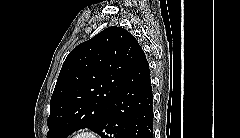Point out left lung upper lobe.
Returning <instances> with one entry per match:
<instances>
[{
  "mask_svg": "<svg viewBox=\"0 0 240 138\" xmlns=\"http://www.w3.org/2000/svg\"><path fill=\"white\" fill-rule=\"evenodd\" d=\"M141 47L122 27L111 26L79 44L63 63L50 101L47 138L96 131Z\"/></svg>",
  "mask_w": 240,
  "mask_h": 138,
  "instance_id": "1",
  "label": "left lung upper lobe"
}]
</instances>
